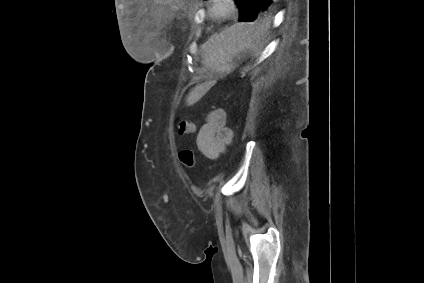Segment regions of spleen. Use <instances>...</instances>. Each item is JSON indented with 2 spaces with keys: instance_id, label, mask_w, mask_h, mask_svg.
<instances>
[{
  "instance_id": "obj_1",
  "label": "spleen",
  "mask_w": 424,
  "mask_h": 283,
  "mask_svg": "<svg viewBox=\"0 0 424 283\" xmlns=\"http://www.w3.org/2000/svg\"><path fill=\"white\" fill-rule=\"evenodd\" d=\"M254 29H255L254 27H251V30H254ZM251 30H250V31H251ZM240 45H243V44H240Z\"/></svg>"
}]
</instances>
